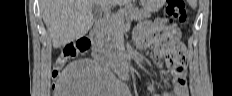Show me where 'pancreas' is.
I'll return each mask as SVG.
<instances>
[{
    "label": "pancreas",
    "mask_w": 232,
    "mask_h": 96,
    "mask_svg": "<svg viewBox=\"0 0 232 96\" xmlns=\"http://www.w3.org/2000/svg\"><path fill=\"white\" fill-rule=\"evenodd\" d=\"M150 17V12L139 10L135 7H125L116 14L106 16L101 25L99 36L96 39V46L115 53L116 37L123 30L125 21H139Z\"/></svg>",
    "instance_id": "cf45deb5"
}]
</instances>
